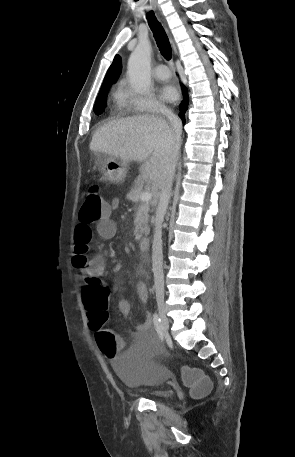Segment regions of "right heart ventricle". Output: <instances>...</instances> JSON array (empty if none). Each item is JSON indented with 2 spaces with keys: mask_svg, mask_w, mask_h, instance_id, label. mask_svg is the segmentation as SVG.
I'll return each mask as SVG.
<instances>
[{
  "mask_svg": "<svg viewBox=\"0 0 295 457\" xmlns=\"http://www.w3.org/2000/svg\"><path fill=\"white\" fill-rule=\"evenodd\" d=\"M113 97H114V103H115L116 107L119 110H125V108L127 107V104H126V93L121 88H118L114 92Z\"/></svg>",
  "mask_w": 295,
  "mask_h": 457,
  "instance_id": "obj_1",
  "label": "right heart ventricle"
}]
</instances>
